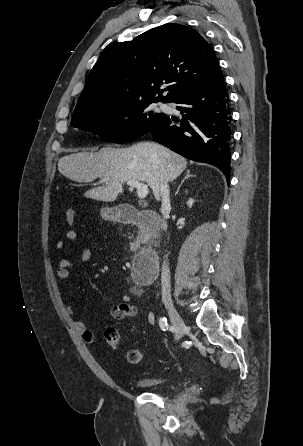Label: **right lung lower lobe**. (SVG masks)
I'll list each match as a JSON object with an SVG mask.
<instances>
[{"mask_svg": "<svg viewBox=\"0 0 303 446\" xmlns=\"http://www.w3.org/2000/svg\"><path fill=\"white\" fill-rule=\"evenodd\" d=\"M173 102L183 118L164 117L148 131L176 153L218 167L229 179L231 108L223 77L185 92ZM173 122L178 125H172Z\"/></svg>", "mask_w": 303, "mask_h": 446, "instance_id": "right-lung-lower-lobe-1", "label": "right lung lower lobe"}]
</instances>
